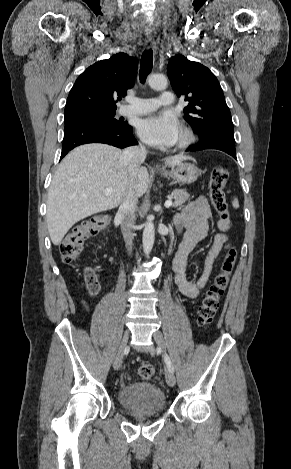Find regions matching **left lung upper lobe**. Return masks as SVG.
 <instances>
[{
  "instance_id": "1",
  "label": "left lung upper lobe",
  "mask_w": 291,
  "mask_h": 469,
  "mask_svg": "<svg viewBox=\"0 0 291 469\" xmlns=\"http://www.w3.org/2000/svg\"><path fill=\"white\" fill-rule=\"evenodd\" d=\"M167 73L177 96L184 95L189 101L184 119L198 132L200 140L212 135L234 136L222 88L207 67L177 54L170 59Z\"/></svg>"
}]
</instances>
